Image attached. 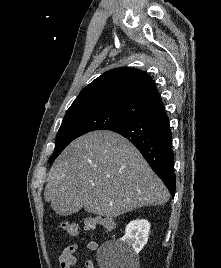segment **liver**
Listing matches in <instances>:
<instances>
[{
  "label": "liver",
  "mask_w": 221,
  "mask_h": 268,
  "mask_svg": "<svg viewBox=\"0 0 221 268\" xmlns=\"http://www.w3.org/2000/svg\"><path fill=\"white\" fill-rule=\"evenodd\" d=\"M164 183L121 135L95 131L70 143L53 164L44 198L59 215L72 210L117 217L169 200Z\"/></svg>",
  "instance_id": "6515ba94"
}]
</instances>
